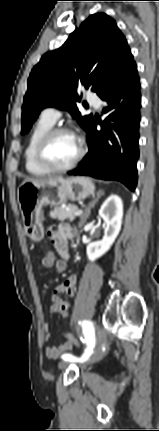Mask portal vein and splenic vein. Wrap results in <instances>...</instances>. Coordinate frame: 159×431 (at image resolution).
Returning <instances> with one entry per match:
<instances>
[{
  "mask_svg": "<svg viewBox=\"0 0 159 431\" xmlns=\"http://www.w3.org/2000/svg\"><path fill=\"white\" fill-rule=\"evenodd\" d=\"M82 213H83L82 210H77V211H75L74 215L75 216H80Z\"/></svg>",
  "mask_w": 159,
  "mask_h": 431,
  "instance_id": "portal-vein-and-splenic-vein-1",
  "label": "portal vein and splenic vein"
}]
</instances>
